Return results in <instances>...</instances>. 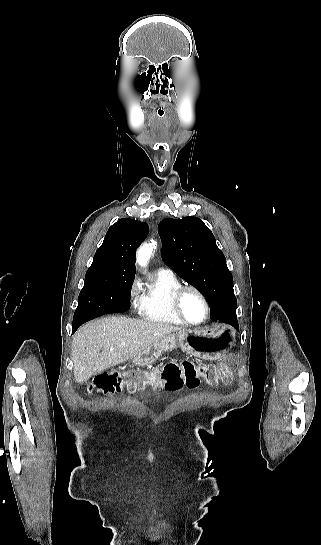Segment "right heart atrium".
<instances>
[{
    "label": "right heart atrium",
    "mask_w": 321,
    "mask_h": 545,
    "mask_svg": "<svg viewBox=\"0 0 321 545\" xmlns=\"http://www.w3.org/2000/svg\"><path fill=\"white\" fill-rule=\"evenodd\" d=\"M128 296L131 304L135 307L142 299L141 287L136 279H133L129 285Z\"/></svg>",
    "instance_id": "obj_1"
}]
</instances>
